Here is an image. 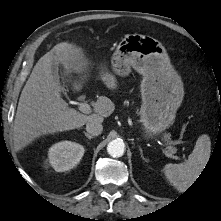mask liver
Segmentation results:
<instances>
[{
	"mask_svg": "<svg viewBox=\"0 0 221 221\" xmlns=\"http://www.w3.org/2000/svg\"><path fill=\"white\" fill-rule=\"evenodd\" d=\"M53 62L61 64L65 74L87 72L90 63L84 50L69 42L55 45L38 60L21 92L15 115L13 140L18 150L42 135L80 128L94 120L103 122L115 109L114 103L105 96L93 104L94 114L84 115L69 108L52 74ZM99 79L108 89H117L116 77L103 68ZM81 89V83L73 84L74 91Z\"/></svg>",
	"mask_w": 221,
	"mask_h": 221,
	"instance_id": "6515ba94",
	"label": "liver"
}]
</instances>
